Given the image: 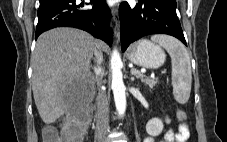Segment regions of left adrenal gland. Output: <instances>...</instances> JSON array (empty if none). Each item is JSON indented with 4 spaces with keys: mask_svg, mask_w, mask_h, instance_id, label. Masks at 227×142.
<instances>
[{
    "mask_svg": "<svg viewBox=\"0 0 227 142\" xmlns=\"http://www.w3.org/2000/svg\"><path fill=\"white\" fill-rule=\"evenodd\" d=\"M131 80L134 81V77H131Z\"/></svg>",
    "mask_w": 227,
    "mask_h": 142,
    "instance_id": "left-adrenal-gland-1",
    "label": "left adrenal gland"
}]
</instances>
